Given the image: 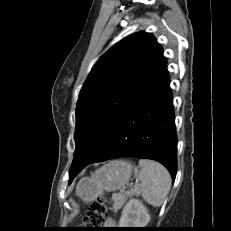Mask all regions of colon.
<instances>
[{"instance_id":"5ec220e1","label":"colon","mask_w":231,"mask_h":231,"mask_svg":"<svg viewBox=\"0 0 231 231\" xmlns=\"http://www.w3.org/2000/svg\"><path fill=\"white\" fill-rule=\"evenodd\" d=\"M110 209V203L106 199H98L94 202L84 219V223L89 226H99L104 222V217Z\"/></svg>"}]
</instances>
